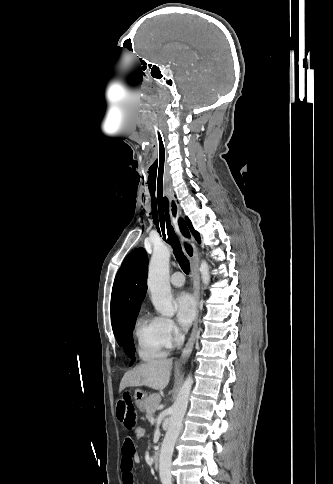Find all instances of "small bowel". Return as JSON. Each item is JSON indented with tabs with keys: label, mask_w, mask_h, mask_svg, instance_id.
I'll use <instances>...</instances> for the list:
<instances>
[{
	"label": "small bowel",
	"mask_w": 333,
	"mask_h": 484,
	"mask_svg": "<svg viewBox=\"0 0 333 484\" xmlns=\"http://www.w3.org/2000/svg\"><path fill=\"white\" fill-rule=\"evenodd\" d=\"M116 418L122 427L131 432L137 424V414L133 404L132 395L129 391H124L116 402ZM139 461L136 453L134 440L127 435L123 440L121 472L123 484H134L133 465Z\"/></svg>",
	"instance_id": "1"
}]
</instances>
